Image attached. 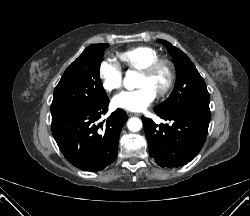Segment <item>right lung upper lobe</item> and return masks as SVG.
<instances>
[{"label": "right lung upper lobe", "instance_id": "right-lung-upper-lobe-1", "mask_svg": "<svg viewBox=\"0 0 250 216\" xmlns=\"http://www.w3.org/2000/svg\"><path fill=\"white\" fill-rule=\"evenodd\" d=\"M109 45L108 44H93L87 47L86 49H92V48H107Z\"/></svg>", "mask_w": 250, "mask_h": 216}]
</instances>
